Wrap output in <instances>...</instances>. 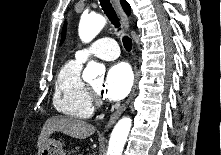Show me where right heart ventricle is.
Returning a JSON list of instances; mask_svg holds the SVG:
<instances>
[{"mask_svg": "<svg viewBox=\"0 0 221 155\" xmlns=\"http://www.w3.org/2000/svg\"><path fill=\"white\" fill-rule=\"evenodd\" d=\"M81 69L82 61L78 59L69 60L61 67L55 80L53 105L64 115L85 119L92 115L93 104Z\"/></svg>", "mask_w": 221, "mask_h": 155, "instance_id": "e07e8e85", "label": "right heart ventricle"}]
</instances>
